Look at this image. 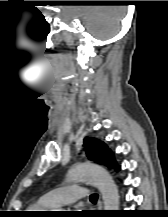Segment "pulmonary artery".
<instances>
[{"label": "pulmonary artery", "mask_w": 168, "mask_h": 217, "mask_svg": "<svg viewBox=\"0 0 168 217\" xmlns=\"http://www.w3.org/2000/svg\"><path fill=\"white\" fill-rule=\"evenodd\" d=\"M88 196V190L78 185H68L46 192L40 200L50 209L74 203Z\"/></svg>", "instance_id": "e3ab8cb5"}]
</instances>
